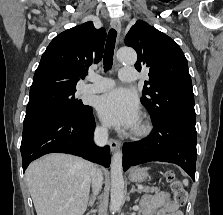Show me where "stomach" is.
<instances>
[{
    "label": "stomach",
    "instance_id": "0dacf381",
    "mask_svg": "<svg viewBox=\"0 0 223 215\" xmlns=\"http://www.w3.org/2000/svg\"><path fill=\"white\" fill-rule=\"evenodd\" d=\"M147 175L145 169H133V171H130L129 177L131 181H145Z\"/></svg>",
    "mask_w": 223,
    "mask_h": 215
}]
</instances>
